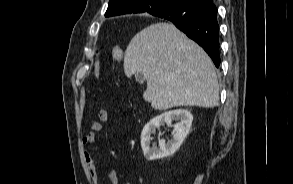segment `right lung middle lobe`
Masks as SVG:
<instances>
[{
	"mask_svg": "<svg viewBox=\"0 0 293 184\" xmlns=\"http://www.w3.org/2000/svg\"><path fill=\"white\" fill-rule=\"evenodd\" d=\"M169 1L168 0H157L153 2V7L155 10L161 11L168 7Z\"/></svg>",
	"mask_w": 293,
	"mask_h": 184,
	"instance_id": "dd1d6c3e",
	"label": "right lung middle lobe"
}]
</instances>
